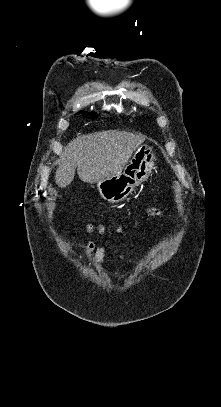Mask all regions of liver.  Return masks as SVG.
Wrapping results in <instances>:
<instances>
[{
    "label": "liver",
    "instance_id": "obj_1",
    "mask_svg": "<svg viewBox=\"0 0 221 407\" xmlns=\"http://www.w3.org/2000/svg\"><path fill=\"white\" fill-rule=\"evenodd\" d=\"M144 141V135L126 131L79 135L64 148L55 182L61 188L68 186L74 179L76 168L80 180L89 184L116 175Z\"/></svg>",
    "mask_w": 221,
    "mask_h": 407
}]
</instances>
